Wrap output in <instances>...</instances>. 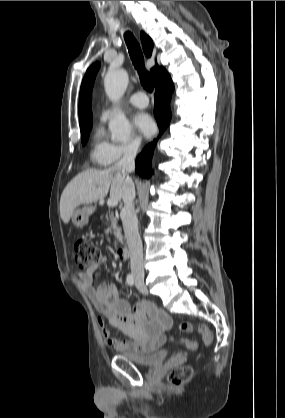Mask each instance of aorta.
<instances>
[{"label":"aorta","instance_id":"1","mask_svg":"<svg viewBox=\"0 0 285 418\" xmlns=\"http://www.w3.org/2000/svg\"><path fill=\"white\" fill-rule=\"evenodd\" d=\"M128 73L123 68L109 69L104 78V87L108 97L116 101L120 99L128 86ZM109 130L111 132V139L116 142H126L131 133V126L121 111L115 113L109 122Z\"/></svg>","mask_w":285,"mask_h":418}]
</instances>
